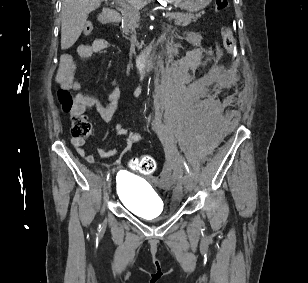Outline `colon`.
I'll return each instance as SVG.
<instances>
[{
    "label": "colon",
    "instance_id": "1",
    "mask_svg": "<svg viewBox=\"0 0 308 283\" xmlns=\"http://www.w3.org/2000/svg\"><path fill=\"white\" fill-rule=\"evenodd\" d=\"M228 8V0H216L215 9L218 13L224 12ZM93 30L91 23H86L83 28L84 34H90ZM223 47L229 55L235 53V36L230 25H225L223 29ZM58 101L62 109L66 112H72L76 106V99L68 90H59L57 93ZM71 134L74 138H87L91 131L92 125L83 114H72L71 116ZM132 168L142 174H151L156 169V161L150 155L137 157L131 162Z\"/></svg>",
    "mask_w": 308,
    "mask_h": 283
}]
</instances>
